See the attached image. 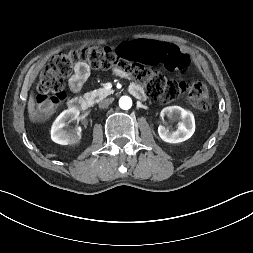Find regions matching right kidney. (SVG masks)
<instances>
[{"mask_svg": "<svg viewBox=\"0 0 253 253\" xmlns=\"http://www.w3.org/2000/svg\"><path fill=\"white\" fill-rule=\"evenodd\" d=\"M79 111L75 108H70L63 111L53 122L51 127V139L57 144L68 145L75 144L81 139V128L75 127L67 129L66 122L77 119Z\"/></svg>", "mask_w": 253, "mask_h": 253, "instance_id": "right-kidney-1", "label": "right kidney"}]
</instances>
